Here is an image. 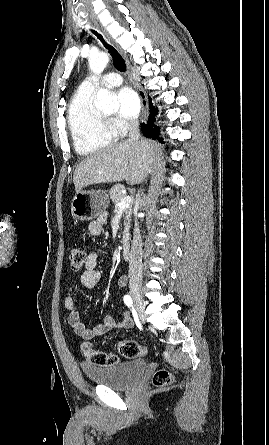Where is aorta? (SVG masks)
I'll return each mask as SVG.
<instances>
[{"mask_svg": "<svg viewBox=\"0 0 269 445\" xmlns=\"http://www.w3.org/2000/svg\"><path fill=\"white\" fill-rule=\"evenodd\" d=\"M109 62V56L105 53L91 54L89 57V68L94 73H101ZM96 109L103 112H113L118 109L119 103L116 96L109 90L100 88L94 100Z\"/></svg>", "mask_w": 269, "mask_h": 445, "instance_id": "762f6f07", "label": "aorta"}]
</instances>
